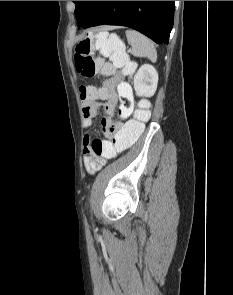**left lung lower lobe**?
<instances>
[{
	"label": "left lung lower lobe",
	"instance_id": "0a47b994",
	"mask_svg": "<svg viewBox=\"0 0 233 295\" xmlns=\"http://www.w3.org/2000/svg\"><path fill=\"white\" fill-rule=\"evenodd\" d=\"M174 1H100L84 28L102 24L133 28L156 43H168Z\"/></svg>",
	"mask_w": 233,
	"mask_h": 295
}]
</instances>
